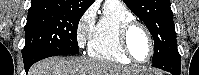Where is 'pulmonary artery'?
Segmentation results:
<instances>
[{"label":"pulmonary artery","instance_id":"pulmonary-artery-1","mask_svg":"<svg viewBox=\"0 0 199 75\" xmlns=\"http://www.w3.org/2000/svg\"><path fill=\"white\" fill-rule=\"evenodd\" d=\"M115 5H122L121 1H106L105 6H115Z\"/></svg>","mask_w":199,"mask_h":75}]
</instances>
